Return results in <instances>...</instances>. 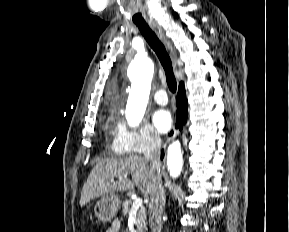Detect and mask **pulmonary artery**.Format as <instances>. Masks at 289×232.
<instances>
[{
  "instance_id": "pulmonary-artery-1",
  "label": "pulmonary artery",
  "mask_w": 289,
  "mask_h": 232,
  "mask_svg": "<svg viewBox=\"0 0 289 232\" xmlns=\"http://www.w3.org/2000/svg\"><path fill=\"white\" fill-rule=\"evenodd\" d=\"M153 98L154 101L159 105H166L168 102L167 94L163 89L156 91Z\"/></svg>"
}]
</instances>
